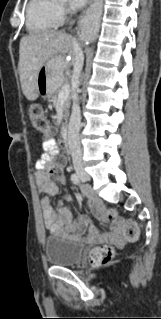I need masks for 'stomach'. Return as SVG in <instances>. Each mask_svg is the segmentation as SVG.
I'll return each mask as SVG.
<instances>
[{
    "instance_id": "stomach-1",
    "label": "stomach",
    "mask_w": 161,
    "mask_h": 319,
    "mask_svg": "<svg viewBox=\"0 0 161 319\" xmlns=\"http://www.w3.org/2000/svg\"><path fill=\"white\" fill-rule=\"evenodd\" d=\"M63 67L56 57L45 62L38 72V93L51 97L63 83Z\"/></svg>"
}]
</instances>
